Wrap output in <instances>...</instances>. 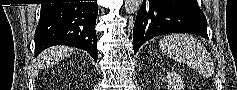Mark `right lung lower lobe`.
Returning a JSON list of instances; mask_svg holds the SVG:
<instances>
[{
  "instance_id": "right-lung-lower-lobe-1",
  "label": "right lung lower lobe",
  "mask_w": 237,
  "mask_h": 90,
  "mask_svg": "<svg viewBox=\"0 0 237 90\" xmlns=\"http://www.w3.org/2000/svg\"><path fill=\"white\" fill-rule=\"evenodd\" d=\"M97 14V1L42 4L34 35L35 57L50 46L67 45L87 51L96 61Z\"/></svg>"
}]
</instances>
